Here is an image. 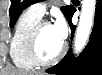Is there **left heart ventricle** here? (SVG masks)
<instances>
[{"instance_id":"left-heart-ventricle-1","label":"left heart ventricle","mask_w":102,"mask_h":75,"mask_svg":"<svg viewBox=\"0 0 102 75\" xmlns=\"http://www.w3.org/2000/svg\"><path fill=\"white\" fill-rule=\"evenodd\" d=\"M63 42L59 39L52 25L45 26L38 38L39 55L45 59L53 58L62 48Z\"/></svg>"}]
</instances>
